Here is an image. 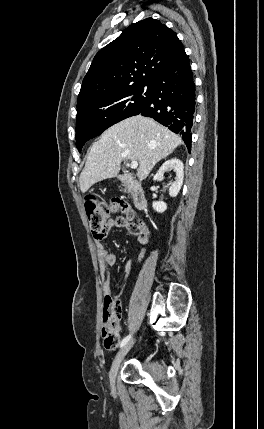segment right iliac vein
Segmentation results:
<instances>
[{"instance_id": "obj_1", "label": "right iliac vein", "mask_w": 264, "mask_h": 429, "mask_svg": "<svg viewBox=\"0 0 264 429\" xmlns=\"http://www.w3.org/2000/svg\"><path fill=\"white\" fill-rule=\"evenodd\" d=\"M134 340L130 341L129 343L125 344L120 350L119 352L116 354L110 371H109V380L111 384L115 383V379L119 370V367L124 359V357L126 356V354L130 351V349L132 348V346L134 345Z\"/></svg>"}]
</instances>
